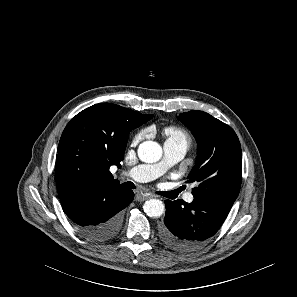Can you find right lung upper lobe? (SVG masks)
Segmentation results:
<instances>
[{"label": "right lung upper lobe", "instance_id": "obj_1", "mask_svg": "<svg viewBox=\"0 0 297 297\" xmlns=\"http://www.w3.org/2000/svg\"><path fill=\"white\" fill-rule=\"evenodd\" d=\"M152 117L100 103L72 118L62 133L56 155L55 178L60 199L86 183L119 184L109 168L121 166L128 133Z\"/></svg>", "mask_w": 297, "mask_h": 297}]
</instances>
